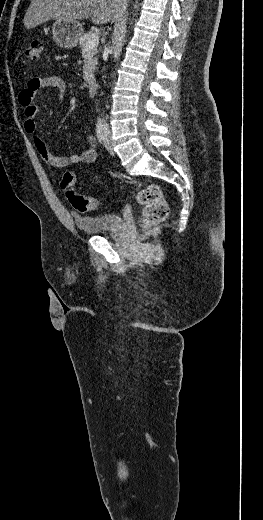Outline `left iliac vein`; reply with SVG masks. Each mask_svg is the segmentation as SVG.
<instances>
[{"label": "left iliac vein", "instance_id": "left-iliac-vein-1", "mask_svg": "<svg viewBox=\"0 0 263 520\" xmlns=\"http://www.w3.org/2000/svg\"><path fill=\"white\" fill-rule=\"evenodd\" d=\"M104 144H105V147L106 149L113 153V147H112V143H111V139H110V132L108 129H105V140H104Z\"/></svg>", "mask_w": 263, "mask_h": 520}]
</instances>
